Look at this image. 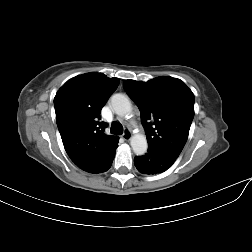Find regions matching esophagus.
I'll return each instance as SVG.
<instances>
[{
	"label": "esophagus",
	"instance_id": "34e87169",
	"mask_svg": "<svg viewBox=\"0 0 252 252\" xmlns=\"http://www.w3.org/2000/svg\"><path fill=\"white\" fill-rule=\"evenodd\" d=\"M123 138L128 141L131 139V131L129 129H125L123 133Z\"/></svg>",
	"mask_w": 252,
	"mask_h": 252
}]
</instances>
